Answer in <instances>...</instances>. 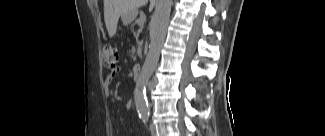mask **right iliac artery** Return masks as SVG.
Returning a JSON list of instances; mask_svg holds the SVG:
<instances>
[{
	"instance_id": "82829eb1",
	"label": "right iliac artery",
	"mask_w": 325,
	"mask_h": 136,
	"mask_svg": "<svg viewBox=\"0 0 325 136\" xmlns=\"http://www.w3.org/2000/svg\"><path fill=\"white\" fill-rule=\"evenodd\" d=\"M139 117L143 120L144 123L148 120V116L144 114H139Z\"/></svg>"
}]
</instances>
